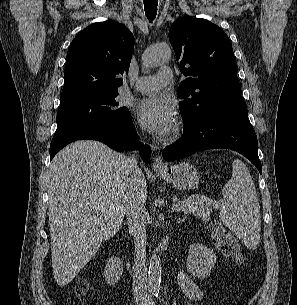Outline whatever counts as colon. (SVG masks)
Returning a JSON list of instances; mask_svg holds the SVG:
<instances>
[{"label":"colon","instance_id":"5ec220e1","mask_svg":"<svg viewBox=\"0 0 297 305\" xmlns=\"http://www.w3.org/2000/svg\"><path fill=\"white\" fill-rule=\"evenodd\" d=\"M213 240L221 252L236 264L246 261L245 254L239 241L225 230L219 223H214ZM89 284L79 281L75 286V294L71 297L69 305H84V296L89 292Z\"/></svg>","mask_w":297,"mask_h":305}]
</instances>
